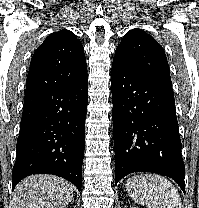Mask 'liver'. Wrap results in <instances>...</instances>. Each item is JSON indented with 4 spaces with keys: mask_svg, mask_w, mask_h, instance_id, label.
Returning a JSON list of instances; mask_svg holds the SVG:
<instances>
[{
    "mask_svg": "<svg viewBox=\"0 0 199 208\" xmlns=\"http://www.w3.org/2000/svg\"><path fill=\"white\" fill-rule=\"evenodd\" d=\"M74 186L53 175H32L22 180L13 194V208H65Z\"/></svg>",
    "mask_w": 199,
    "mask_h": 208,
    "instance_id": "1",
    "label": "liver"
}]
</instances>
